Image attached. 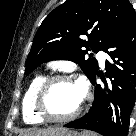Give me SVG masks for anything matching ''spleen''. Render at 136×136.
Wrapping results in <instances>:
<instances>
[{"label": "spleen", "mask_w": 136, "mask_h": 136, "mask_svg": "<svg viewBox=\"0 0 136 136\" xmlns=\"http://www.w3.org/2000/svg\"><path fill=\"white\" fill-rule=\"evenodd\" d=\"M81 136H96V134L90 132H84L83 134H81Z\"/></svg>", "instance_id": "1"}]
</instances>
